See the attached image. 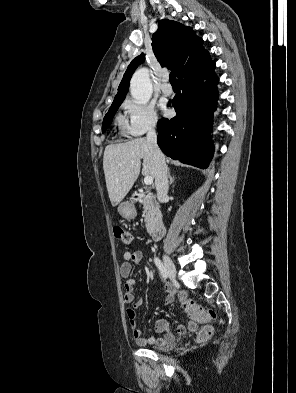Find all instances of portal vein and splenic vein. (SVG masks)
Returning <instances> with one entry per match:
<instances>
[{
	"mask_svg": "<svg viewBox=\"0 0 296 393\" xmlns=\"http://www.w3.org/2000/svg\"><path fill=\"white\" fill-rule=\"evenodd\" d=\"M144 183H145L146 185H151V184L153 183V177H152V176H146V177L144 178Z\"/></svg>",
	"mask_w": 296,
	"mask_h": 393,
	"instance_id": "18ae733b",
	"label": "portal vein and splenic vein"
}]
</instances>
